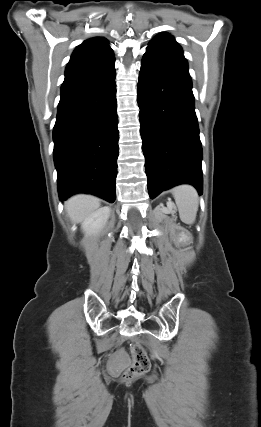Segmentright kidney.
Masks as SVG:
<instances>
[{
  "label": "right kidney",
  "mask_w": 261,
  "mask_h": 427,
  "mask_svg": "<svg viewBox=\"0 0 261 427\" xmlns=\"http://www.w3.org/2000/svg\"><path fill=\"white\" fill-rule=\"evenodd\" d=\"M109 215V207L99 208L82 222L81 228L83 232L88 235L98 233L106 224Z\"/></svg>",
  "instance_id": "ca27d5eb"
}]
</instances>
